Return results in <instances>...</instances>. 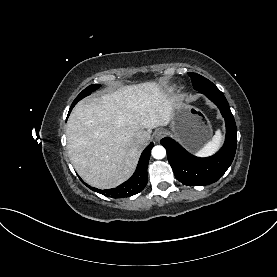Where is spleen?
<instances>
[{
    "label": "spleen",
    "instance_id": "1",
    "mask_svg": "<svg viewBox=\"0 0 277 277\" xmlns=\"http://www.w3.org/2000/svg\"><path fill=\"white\" fill-rule=\"evenodd\" d=\"M222 142V134L220 130H218L213 136L212 140L207 142L203 148H201L196 155L200 157H205L213 154L220 146Z\"/></svg>",
    "mask_w": 277,
    "mask_h": 277
}]
</instances>
